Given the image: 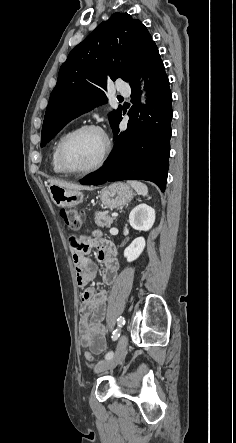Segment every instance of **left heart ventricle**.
Masks as SVG:
<instances>
[{"label":"left heart ventricle","instance_id":"obj_1","mask_svg":"<svg viewBox=\"0 0 236 443\" xmlns=\"http://www.w3.org/2000/svg\"><path fill=\"white\" fill-rule=\"evenodd\" d=\"M103 149V136L96 131H86L69 142L65 150V160L72 169H88L97 163Z\"/></svg>","mask_w":236,"mask_h":443}]
</instances>
